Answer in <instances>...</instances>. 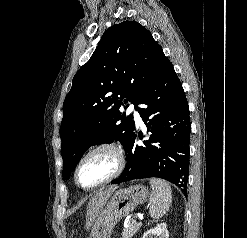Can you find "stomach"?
I'll list each match as a JSON object with an SVG mask.
<instances>
[{
    "label": "stomach",
    "mask_w": 247,
    "mask_h": 238,
    "mask_svg": "<svg viewBox=\"0 0 247 238\" xmlns=\"http://www.w3.org/2000/svg\"><path fill=\"white\" fill-rule=\"evenodd\" d=\"M149 196V189L140 184L116 191L95 220L90 238H110L115 225L137 205L145 203Z\"/></svg>",
    "instance_id": "0dacf381"
}]
</instances>
